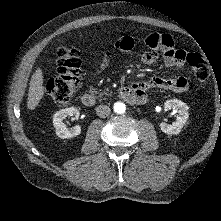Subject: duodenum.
<instances>
[{
    "label": "duodenum",
    "mask_w": 221,
    "mask_h": 221,
    "mask_svg": "<svg viewBox=\"0 0 221 221\" xmlns=\"http://www.w3.org/2000/svg\"><path fill=\"white\" fill-rule=\"evenodd\" d=\"M118 94L121 98H123L129 103H132V104L142 103V100L140 96L138 95V93L135 90H133L130 86L122 87L119 90ZM81 102L86 107H93L97 103V98L92 93H84L81 96Z\"/></svg>",
    "instance_id": "obj_1"
}]
</instances>
